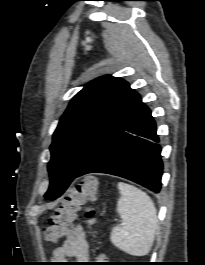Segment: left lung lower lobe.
<instances>
[{
    "mask_svg": "<svg viewBox=\"0 0 205 265\" xmlns=\"http://www.w3.org/2000/svg\"><path fill=\"white\" fill-rule=\"evenodd\" d=\"M156 125L150 109L140 103L117 131L76 175L107 173L138 183L158 193L163 164Z\"/></svg>",
    "mask_w": 205,
    "mask_h": 265,
    "instance_id": "0a47b994",
    "label": "left lung lower lobe"
}]
</instances>
